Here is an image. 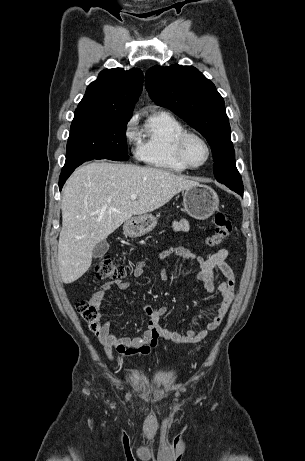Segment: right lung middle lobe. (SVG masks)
<instances>
[{"label": "right lung middle lobe", "instance_id": "obj_1", "mask_svg": "<svg viewBox=\"0 0 305 461\" xmlns=\"http://www.w3.org/2000/svg\"><path fill=\"white\" fill-rule=\"evenodd\" d=\"M129 119L75 112L63 168L93 159L128 160L125 130Z\"/></svg>", "mask_w": 305, "mask_h": 461}]
</instances>
